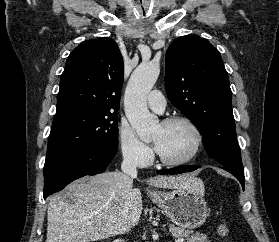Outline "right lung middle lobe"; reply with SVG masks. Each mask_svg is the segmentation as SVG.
<instances>
[{"instance_id":"obj_1","label":"right lung middle lobe","mask_w":279,"mask_h":242,"mask_svg":"<svg viewBox=\"0 0 279 242\" xmlns=\"http://www.w3.org/2000/svg\"><path fill=\"white\" fill-rule=\"evenodd\" d=\"M117 115L118 112L90 109L56 114L50 132L45 164L84 150H117Z\"/></svg>"}]
</instances>
